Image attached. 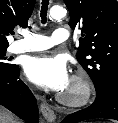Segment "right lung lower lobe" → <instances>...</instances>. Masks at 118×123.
<instances>
[{"instance_id": "1", "label": "right lung lower lobe", "mask_w": 118, "mask_h": 123, "mask_svg": "<svg viewBox=\"0 0 118 123\" xmlns=\"http://www.w3.org/2000/svg\"><path fill=\"white\" fill-rule=\"evenodd\" d=\"M0 104L28 123L39 122L35 97L19 79V67L10 72L0 73Z\"/></svg>"}]
</instances>
